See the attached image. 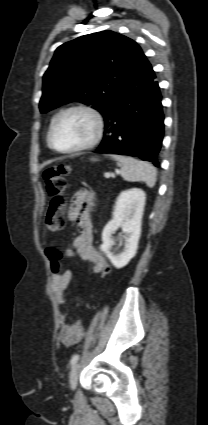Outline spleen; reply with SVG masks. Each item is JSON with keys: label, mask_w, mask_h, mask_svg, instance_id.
Segmentation results:
<instances>
[{"label": "spleen", "mask_w": 208, "mask_h": 425, "mask_svg": "<svg viewBox=\"0 0 208 425\" xmlns=\"http://www.w3.org/2000/svg\"><path fill=\"white\" fill-rule=\"evenodd\" d=\"M113 158L121 164L120 173L124 180L131 182L141 181L150 188L155 185L157 172L150 163L120 155H113Z\"/></svg>", "instance_id": "1"}]
</instances>
